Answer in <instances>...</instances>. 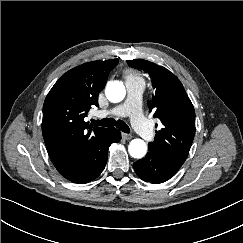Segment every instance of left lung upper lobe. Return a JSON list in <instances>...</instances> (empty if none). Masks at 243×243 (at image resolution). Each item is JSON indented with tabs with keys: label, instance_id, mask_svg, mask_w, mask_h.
Listing matches in <instances>:
<instances>
[{
	"label": "left lung upper lobe",
	"instance_id": "1",
	"mask_svg": "<svg viewBox=\"0 0 243 243\" xmlns=\"http://www.w3.org/2000/svg\"><path fill=\"white\" fill-rule=\"evenodd\" d=\"M127 62L131 67L147 72L155 89L149 109L160 120L162 128L156 131L155 140L148 144L149 148L182 165L195 135V111L182 83L166 68L147 60Z\"/></svg>",
	"mask_w": 243,
	"mask_h": 243
}]
</instances>
